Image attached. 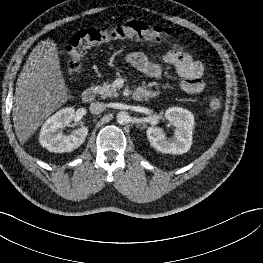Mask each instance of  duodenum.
<instances>
[{
  "mask_svg": "<svg viewBox=\"0 0 263 263\" xmlns=\"http://www.w3.org/2000/svg\"><path fill=\"white\" fill-rule=\"evenodd\" d=\"M95 94H96V92H95L94 88H86L82 92V100H83V102H85V103L92 102L94 100V98H95ZM150 96H151V93L145 88H139L133 94V98L136 101H143V100L147 99Z\"/></svg>",
  "mask_w": 263,
  "mask_h": 263,
  "instance_id": "1",
  "label": "duodenum"
}]
</instances>
